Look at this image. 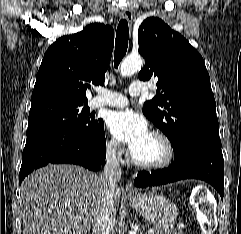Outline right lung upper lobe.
Returning <instances> with one entry per match:
<instances>
[{"mask_svg":"<svg viewBox=\"0 0 241 234\" xmlns=\"http://www.w3.org/2000/svg\"><path fill=\"white\" fill-rule=\"evenodd\" d=\"M113 46V28L101 23L56 40L42 60L31 105L48 101L87 103L86 89L104 84Z\"/></svg>","mask_w":241,"mask_h":234,"instance_id":"right-lung-upper-lobe-1","label":"right lung upper lobe"}]
</instances>
